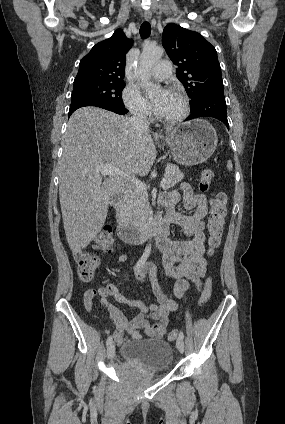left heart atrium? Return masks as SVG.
I'll list each match as a JSON object with an SVG mask.
<instances>
[{"instance_id": "1", "label": "left heart atrium", "mask_w": 285, "mask_h": 424, "mask_svg": "<svg viewBox=\"0 0 285 424\" xmlns=\"http://www.w3.org/2000/svg\"><path fill=\"white\" fill-rule=\"evenodd\" d=\"M170 95H171V92L166 89L161 91V93L159 94V96L156 98L154 102V109L157 112H159L163 108L164 104L167 102Z\"/></svg>"}]
</instances>
